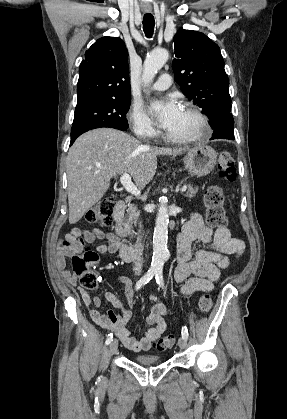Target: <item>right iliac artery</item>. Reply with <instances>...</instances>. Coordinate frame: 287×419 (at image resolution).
<instances>
[{
    "label": "right iliac artery",
    "instance_id": "obj_1",
    "mask_svg": "<svg viewBox=\"0 0 287 419\" xmlns=\"http://www.w3.org/2000/svg\"><path fill=\"white\" fill-rule=\"evenodd\" d=\"M156 272L157 271L156 270H153V269L148 270L144 274V276L136 283L135 289L138 290L142 286H144L145 284H147L154 277V275L156 274ZM112 339H113V334L112 333L108 334V337H107L106 342H105L106 345L110 344L111 341H112Z\"/></svg>",
    "mask_w": 287,
    "mask_h": 419
}]
</instances>
